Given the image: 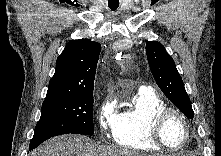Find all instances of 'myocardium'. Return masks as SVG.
I'll return each mask as SVG.
<instances>
[{
    "label": "myocardium",
    "mask_w": 221,
    "mask_h": 156,
    "mask_svg": "<svg viewBox=\"0 0 221 156\" xmlns=\"http://www.w3.org/2000/svg\"><path fill=\"white\" fill-rule=\"evenodd\" d=\"M172 114L177 115L183 121V123L185 125V129H186V136H185L184 142L180 146L175 147V148L169 147L168 145H166V143L164 142V140L162 138L163 125H164L166 119ZM150 138H151L152 142L156 146H158L160 149H163L168 152L181 151L187 146V144L189 143L190 138H191L190 122H189L188 118L186 117V115L182 111H180L176 108H172V107H165L164 109L159 111L154 116V118L151 122Z\"/></svg>",
    "instance_id": "myocardium-1"
}]
</instances>
